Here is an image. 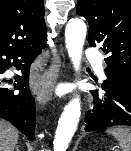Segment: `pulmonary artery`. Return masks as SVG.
I'll use <instances>...</instances> for the list:
<instances>
[{"instance_id":"e3ab8cb5","label":"pulmonary artery","mask_w":131,"mask_h":151,"mask_svg":"<svg viewBox=\"0 0 131 151\" xmlns=\"http://www.w3.org/2000/svg\"><path fill=\"white\" fill-rule=\"evenodd\" d=\"M87 59L93 65L94 70L99 75H104V67L101 57L93 50H89L86 54Z\"/></svg>"}]
</instances>
